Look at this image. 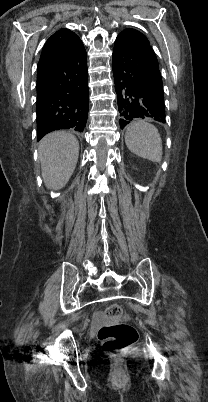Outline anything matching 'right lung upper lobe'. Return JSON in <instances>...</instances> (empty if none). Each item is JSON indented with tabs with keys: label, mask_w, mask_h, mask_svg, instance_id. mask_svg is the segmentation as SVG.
Masks as SVG:
<instances>
[{
	"label": "right lung upper lobe",
	"mask_w": 208,
	"mask_h": 402,
	"mask_svg": "<svg viewBox=\"0 0 208 402\" xmlns=\"http://www.w3.org/2000/svg\"><path fill=\"white\" fill-rule=\"evenodd\" d=\"M70 34H73V32L70 31V30H68V29H66V28L60 29L59 31L55 32V33L47 40V42L45 43V45L50 44V43H53V42H55V41H57V40H59V39L65 37V36H67V35H70Z\"/></svg>",
	"instance_id": "right-lung-upper-lobe-1"
}]
</instances>
